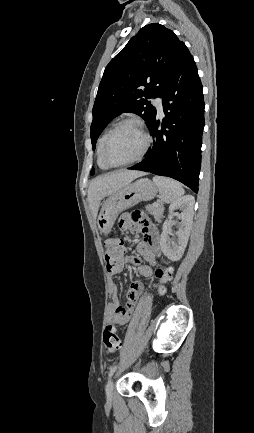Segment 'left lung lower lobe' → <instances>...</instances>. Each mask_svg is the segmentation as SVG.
Masks as SVG:
<instances>
[{
  "instance_id": "0a47b994",
  "label": "left lung lower lobe",
  "mask_w": 254,
  "mask_h": 433,
  "mask_svg": "<svg viewBox=\"0 0 254 433\" xmlns=\"http://www.w3.org/2000/svg\"><path fill=\"white\" fill-rule=\"evenodd\" d=\"M161 98L166 118L160 121L155 116L149 126L153 145L146 158L129 169L171 177L198 192L205 104L197 67L189 51Z\"/></svg>"
}]
</instances>
